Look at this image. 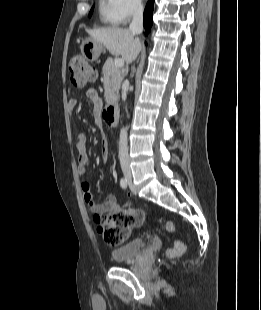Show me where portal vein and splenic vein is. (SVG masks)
Returning <instances> with one entry per match:
<instances>
[{
  "label": "portal vein and splenic vein",
  "mask_w": 261,
  "mask_h": 310,
  "mask_svg": "<svg viewBox=\"0 0 261 310\" xmlns=\"http://www.w3.org/2000/svg\"><path fill=\"white\" fill-rule=\"evenodd\" d=\"M114 65H115V67H117V68H121V67H123L124 66V60L123 59H115V61H114Z\"/></svg>",
  "instance_id": "18ae733b"
}]
</instances>
